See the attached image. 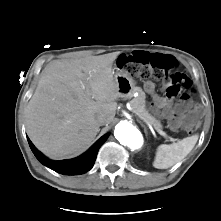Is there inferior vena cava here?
I'll return each mask as SVG.
<instances>
[{"instance_id": "inferior-vena-cava-1", "label": "inferior vena cava", "mask_w": 221, "mask_h": 221, "mask_svg": "<svg viewBox=\"0 0 221 221\" xmlns=\"http://www.w3.org/2000/svg\"><path fill=\"white\" fill-rule=\"evenodd\" d=\"M97 123L102 126L106 124V118L103 115L97 116Z\"/></svg>"}]
</instances>
